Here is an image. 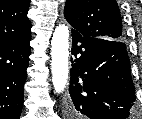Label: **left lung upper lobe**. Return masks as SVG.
I'll list each match as a JSON object with an SVG mask.
<instances>
[{"label":"left lung upper lobe","instance_id":"obj_1","mask_svg":"<svg viewBox=\"0 0 142 119\" xmlns=\"http://www.w3.org/2000/svg\"><path fill=\"white\" fill-rule=\"evenodd\" d=\"M64 17L84 37L123 41L122 21L115 0H67Z\"/></svg>","mask_w":142,"mask_h":119}]
</instances>
